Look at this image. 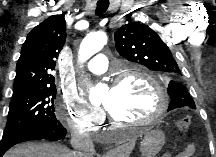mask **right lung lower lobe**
<instances>
[{
	"mask_svg": "<svg viewBox=\"0 0 216 157\" xmlns=\"http://www.w3.org/2000/svg\"><path fill=\"white\" fill-rule=\"evenodd\" d=\"M67 130L62 127L61 123L46 124L31 127L29 129L14 133L2 138L0 145V157L13 145L30 140L46 139L58 141L65 137Z\"/></svg>",
	"mask_w": 216,
	"mask_h": 157,
	"instance_id": "98d812e1",
	"label": "right lung lower lobe"
}]
</instances>
